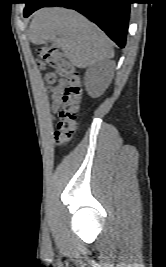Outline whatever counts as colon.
Segmentation results:
<instances>
[{
    "instance_id": "obj_1",
    "label": "colon",
    "mask_w": 166,
    "mask_h": 267,
    "mask_svg": "<svg viewBox=\"0 0 166 267\" xmlns=\"http://www.w3.org/2000/svg\"><path fill=\"white\" fill-rule=\"evenodd\" d=\"M41 65L53 68L56 73L65 79L66 85L62 95V105L57 115L54 131V142L62 146L69 142L76 129V119L82 101V81L75 67L65 58L59 46L52 44L39 51ZM56 75L49 73L46 76L48 83H54Z\"/></svg>"
}]
</instances>
